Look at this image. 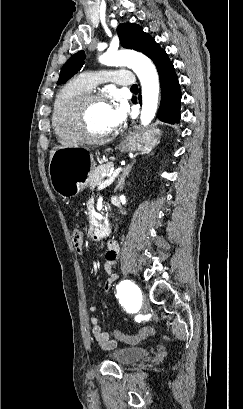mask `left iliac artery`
I'll use <instances>...</instances> for the list:
<instances>
[{
	"label": "left iliac artery",
	"instance_id": "44dca946",
	"mask_svg": "<svg viewBox=\"0 0 243 409\" xmlns=\"http://www.w3.org/2000/svg\"><path fill=\"white\" fill-rule=\"evenodd\" d=\"M117 297L121 300H127L136 304V307L141 303V291L131 281L125 280L117 286Z\"/></svg>",
	"mask_w": 243,
	"mask_h": 409
}]
</instances>
